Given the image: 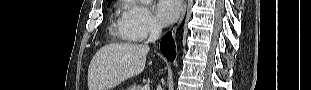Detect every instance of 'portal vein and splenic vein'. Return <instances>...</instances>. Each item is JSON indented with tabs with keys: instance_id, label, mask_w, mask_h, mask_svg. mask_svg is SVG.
Instances as JSON below:
<instances>
[{
	"instance_id": "obj_1",
	"label": "portal vein and splenic vein",
	"mask_w": 311,
	"mask_h": 90,
	"mask_svg": "<svg viewBox=\"0 0 311 90\" xmlns=\"http://www.w3.org/2000/svg\"><path fill=\"white\" fill-rule=\"evenodd\" d=\"M141 90H150V86L149 85H145L141 88Z\"/></svg>"
}]
</instances>
